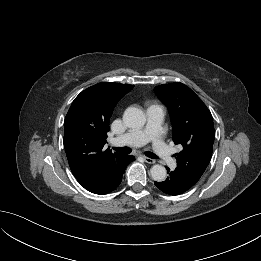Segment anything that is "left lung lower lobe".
<instances>
[{
	"mask_svg": "<svg viewBox=\"0 0 261 261\" xmlns=\"http://www.w3.org/2000/svg\"><path fill=\"white\" fill-rule=\"evenodd\" d=\"M167 173L169 176L165 181L154 182L155 185L166 194L179 195L188 191L196 184L177 169L171 171L167 167Z\"/></svg>",
	"mask_w": 261,
	"mask_h": 261,
	"instance_id": "1",
	"label": "left lung lower lobe"
}]
</instances>
